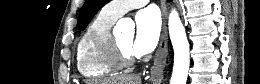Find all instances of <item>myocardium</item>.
<instances>
[{"instance_id":"myocardium-1","label":"myocardium","mask_w":260,"mask_h":84,"mask_svg":"<svg viewBox=\"0 0 260 84\" xmlns=\"http://www.w3.org/2000/svg\"><path fill=\"white\" fill-rule=\"evenodd\" d=\"M107 53L110 62L119 69L132 66L136 60L133 51L124 50L111 34L107 42Z\"/></svg>"}]
</instances>
